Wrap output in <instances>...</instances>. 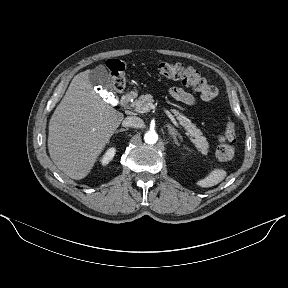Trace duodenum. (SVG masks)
Wrapping results in <instances>:
<instances>
[{
  "instance_id": "obj_1",
  "label": "duodenum",
  "mask_w": 288,
  "mask_h": 288,
  "mask_svg": "<svg viewBox=\"0 0 288 288\" xmlns=\"http://www.w3.org/2000/svg\"><path fill=\"white\" fill-rule=\"evenodd\" d=\"M133 97H134V95L132 92H127V93L123 94V96L121 97V101H120L121 105L123 107H126L131 102Z\"/></svg>"
}]
</instances>
